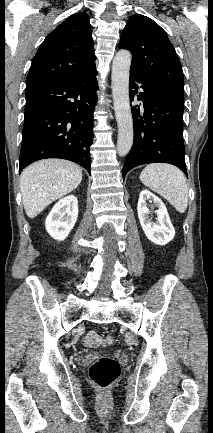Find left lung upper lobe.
<instances>
[{
	"label": "left lung upper lobe",
	"mask_w": 213,
	"mask_h": 433,
	"mask_svg": "<svg viewBox=\"0 0 213 433\" xmlns=\"http://www.w3.org/2000/svg\"><path fill=\"white\" fill-rule=\"evenodd\" d=\"M118 46L131 51V71L151 86L184 101L181 63L165 31L155 21L141 14L131 16Z\"/></svg>",
	"instance_id": "5c2ea615"
}]
</instances>
